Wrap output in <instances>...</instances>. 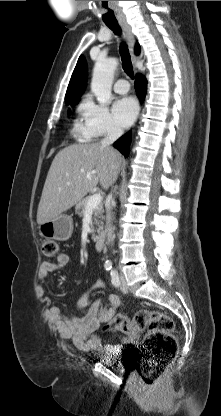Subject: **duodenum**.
I'll return each mask as SVG.
<instances>
[{
    "label": "duodenum",
    "instance_id": "410a0bca",
    "mask_svg": "<svg viewBox=\"0 0 221 416\" xmlns=\"http://www.w3.org/2000/svg\"><path fill=\"white\" fill-rule=\"evenodd\" d=\"M106 233L104 229H101L95 240V248L97 251H102L105 245Z\"/></svg>",
    "mask_w": 221,
    "mask_h": 416
}]
</instances>
